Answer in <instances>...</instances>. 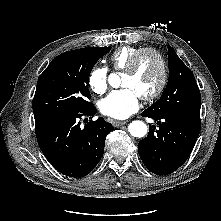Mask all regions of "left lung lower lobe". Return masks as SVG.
Returning <instances> with one entry per match:
<instances>
[{
    "label": "left lung lower lobe",
    "mask_w": 221,
    "mask_h": 221,
    "mask_svg": "<svg viewBox=\"0 0 221 221\" xmlns=\"http://www.w3.org/2000/svg\"><path fill=\"white\" fill-rule=\"evenodd\" d=\"M142 116L157 120L159 129L149 125V133L138 144L144 165L157 175H167L185 163L198 138L200 116L155 117L146 111Z\"/></svg>",
    "instance_id": "obj_1"
}]
</instances>
